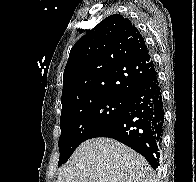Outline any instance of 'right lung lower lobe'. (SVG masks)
<instances>
[{"mask_svg": "<svg viewBox=\"0 0 196 182\" xmlns=\"http://www.w3.org/2000/svg\"><path fill=\"white\" fill-rule=\"evenodd\" d=\"M163 132L162 93L154 70L130 95L124 110L91 138L116 139L140 153L156 169L159 166Z\"/></svg>", "mask_w": 196, "mask_h": 182, "instance_id": "1", "label": "right lung lower lobe"}]
</instances>
